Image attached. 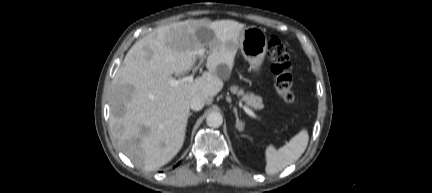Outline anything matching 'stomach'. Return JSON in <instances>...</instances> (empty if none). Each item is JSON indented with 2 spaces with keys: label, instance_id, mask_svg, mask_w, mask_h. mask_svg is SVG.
Here are the masks:
<instances>
[{
  "label": "stomach",
  "instance_id": "obj_1",
  "mask_svg": "<svg viewBox=\"0 0 432 193\" xmlns=\"http://www.w3.org/2000/svg\"><path fill=\"white\" fill-rule=\"evenodd\" d=\"M267 45V36L261 28L248 26L242 30L239 47L243 57L256 72L259 71L264 61Z\"/></svg>",
  "mask_w": 432,
  "mask_h": 193
}]
</instances>
